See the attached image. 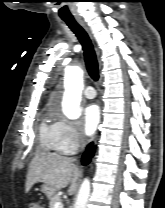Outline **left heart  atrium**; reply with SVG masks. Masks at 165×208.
<instances>
[{
	"label": "left heart atrium",
	"instance_id": "39dd6f15",
	"mask_svg": "<svg viewBox=\"0 0 165 208\" xmlns=\"http://www.w3.org/2000/svg\"><path fill=\"white\" fill-rule=\"evenodd\" d=\"M100 122V109L95 104L88 105L83 111V131L92 135Z\"/></svg>",
	"mask_w": 165,
	"mask_h": 208
}]
</instances>
